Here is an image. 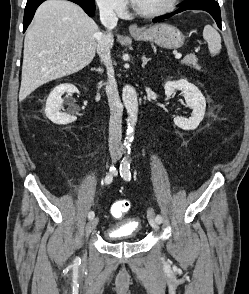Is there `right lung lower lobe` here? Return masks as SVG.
<instances>
[{
    "mask_svg": "<svg viewBox=\"0 0 249 294\" xmlns=\"http://www.w3.org/2000/svg\"><path fill=\"white\" fill-rule=\"evenodd\" d=\"M45 0H28L26 7H25V12H24V20H23V32L27 29L28 25L33 19L34 13L38 6L44 2ZM72 1L76 4H78L82 9L89 15V16H94L95 13V3L94 1L91 0H69Z\"/></svg>",
    "mask_w": 249,
    "mask_h": 294,
    "instance_id": "right-lung-lower-lobe-1",
    "label": "right lung lower lobe"
}]
</instances>
